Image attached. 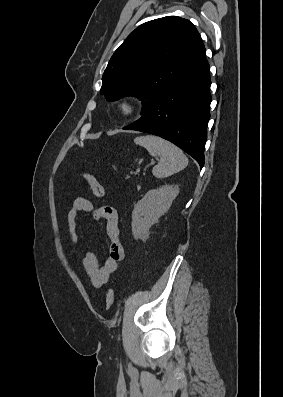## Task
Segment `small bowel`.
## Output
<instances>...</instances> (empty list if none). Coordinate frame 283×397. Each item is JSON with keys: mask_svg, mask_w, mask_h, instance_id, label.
Here are the masks:
<instances>
[{"mask_svg": "<svg viewBox=\"0 0 283 397\" xmlns=\"http://www.w3.org/2000/svg\"><path fill=\"white\" fill-rule=\"evenodd\" d=\"M81 214H90L97 222L103 224L110 240L108 255L102 265L92 251L83 252L82 263L86 273L91 283L100 288L108 283L111 274L117 270L125 255L119 239L118 213L113 206L94 207L85 198L75 199L67 215L68 231L73 245L78 244L77 219Z\"/></svg>", "mask_w": 283, "mask_h": 397, "instance_id": "1", "label": "small bowel"}]
</instances>
